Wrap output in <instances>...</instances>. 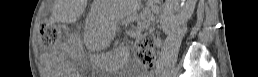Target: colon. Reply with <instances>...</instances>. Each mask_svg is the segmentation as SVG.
Segmentation results:
<instances>
[{
	"mask_svg": "<svg viewBox=\"0 0 258 77\" xmlns=\"http://www.w3.org/2000/svg\"><path fill=\"white\" fill-rule=\"evenodd\" d=\"M62 30L60 28L51 26L49 24H41L39 27V34L44 44L52 45L61 36ZM156 40L153 34H142L136 44V60L144 67H150L154 64L156 57Z\"/></svg>",
	"mask_w": 258,
	"mask_h": 77,
	"instance_id": "colon-1",
	"label": "colon"
}]
</instances>
